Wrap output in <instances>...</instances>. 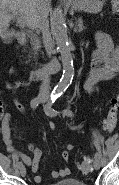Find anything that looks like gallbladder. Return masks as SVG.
<instances>
[{
	"label": "gallbladder",
	"instance_id": "1",
	"mask_svg": "<svg viewBox=\"0 0 119 185\" xmlns=\"http://www.w3.org/2000/svg\"><path fill=\"white\" fill-rule=\"evenodd\" d=\"M0 37L3 39L5 43H8L12 37V32L9 30H2L0 32Z\"/></svg>",
	"mask_w": 119,
	"mask_h": 185
}]
</instances>
